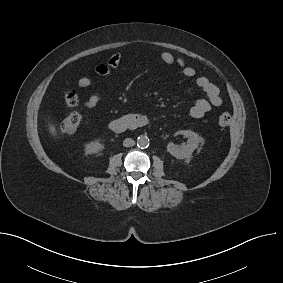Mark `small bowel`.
Here are the masks:
<instances>
[{
  "mask_svg": "<svg viewBox=\"0 0 283 283\" xmlns=\"http://www.w3.org/2000/svg\"><path fill=\"white\" fill-rule=\"evenodd\" d=\"M158 58L167 65H177L181 68L184 76L192 78L195 76L196 71L193 67L187 65L185 61L173 55L170 52H159ZM123 59V55L120 52L113 53L105 63L97 64L94 67V71L99 76L111 75L120 65ZM93 81L89 77H80L77 80V85L81 88H88L92 85ZM197 86L203 91L205 97L199 98L195 101L190 109V116L194 119H200L205 114L210 112L214 107H218L222 104L220 91L218 87L213 84L207 77L199 76L196 78ZM102 100V97L98 94H93L83 101V107L92 109L96 107Z\"/></svg>",
  "mask_w": 283,
  "mask_h": 283,
  "instance_id": "small-bowel-1",
  "label": "small bowel"
}]
</instances>
